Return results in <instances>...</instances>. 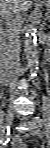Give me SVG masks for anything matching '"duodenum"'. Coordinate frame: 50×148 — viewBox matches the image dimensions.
I'll list each match as a JSON object with an SVG mask.
<instances>
[{
    "label": "duodenum",
    "mask_w": 50,
    "mask_h": 148,
    "mask_svg": "<svg viewBox=\"0 0 50 148\" xmlns=\"http://www.w3.org/2000/svg\"><path fill=\"white\" fill-rule=\"evenodd\" d=\"M9 79H10V76L5 70V68L3 67L1 70V83L7 84L9 82Z\"/></svg>",
    "instance_id": "duodenum-1"
}]
</instances>
